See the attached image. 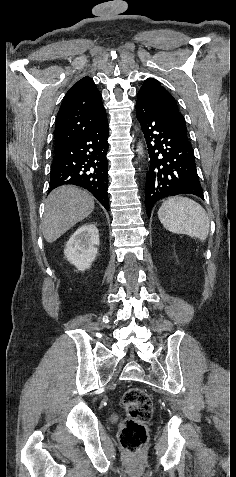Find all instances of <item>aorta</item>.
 <instances>
[{"mask_svg": "<svg viewBox=\"0 0 236 477\" xmlns=\"http://www.w3.org/2000/svg\"><path fill=\"white\" fill-rule=\"evenodd\" d=\"M137 151L139 152V154H142V147H141V145H138Z\"/></svg>", "mask_w": 236, "mask_h": 477, "instance_id": "aorta-1", "label": "aorta"}]
</instances>
